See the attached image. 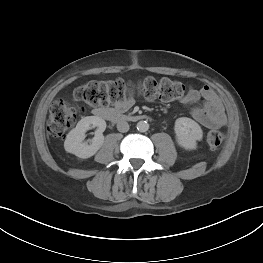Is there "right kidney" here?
I'll use <instances>...</instances> for the list:
<instances>
[{"label":"right kidney","mask_w":263,"mask_h":263,"mask_svg":"<svg viewBox=\"0 0 263 263\" xmlns=\"http://www.w3.org/2000/svg\"><path fill=\"white\" fill-rule=\"evenodd\" d=\"M92 127H97L95 136L88 144L83 142L85 132ZM106 129V122L97 116H87L82 118L66 136L64 148L67 152L76 155L79 158H89L93 156L103 145V132Z\"/></svg>","instance_id":"1"}]
</instances>
